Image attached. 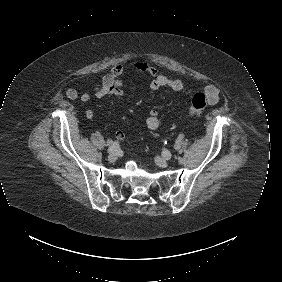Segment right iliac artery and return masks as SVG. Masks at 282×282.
<instances>
[{
    "mask_svg": "<svg viewBox=\"0 0 282 282\" xmlns=\"http://www.w3.org/2000/svg\"><path fill=\"white\" fill-rule=\"evenodd\" d=\"M118 148H119V143L116 141L115 142L111 141L107 152L111 153V152L117 151Z\"/></svg>",
    "mask_w": 282,
    "mask_h": 282,
    "instance_id": "1",
    "label": "right iliac artery"
}]
</instances>
